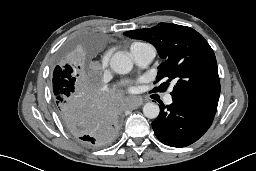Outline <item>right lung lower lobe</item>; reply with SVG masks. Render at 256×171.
<instances>
[{
    "label": "right lung lower lobe",
    "instance_id": "1",
    "mask_svg": "<svg viewBox=\"0 0 256 171\" xmlns=\"http://www.w3.org/2000/svg\"><path fill=\"white\" fill-rule=\"evenodd\" d=\"M58 113L71 135L87 147L109 144L120 130L118 105L95 90H87L70 106L58 110Z\"/></svg>",
    "mask_w": 256,
    "mask_h": 171
}]
</instances>
